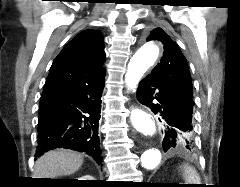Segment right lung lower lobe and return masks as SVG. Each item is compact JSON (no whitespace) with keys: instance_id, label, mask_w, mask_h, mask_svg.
<instances>
[{"instance_id":"1","label":"right lung lower lobe","mask_w":240,"mask_h":187,"mask_svg":"<svg viewBox=\"0 0 240 187\" xmlns=\"http://www.w3.org/2000/svg\"><path fill=\"white\" fill-rule=\"evenodd\" d=\"M104 81L105 74L41 96L36 157L69 148L101 164L98 126Z\"/></svg>"}]
</instances>
